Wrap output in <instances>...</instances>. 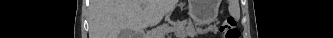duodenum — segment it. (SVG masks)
Segmentation results:
<instances>
[{"mask_svg": "<svg viewBox=\"0 0 333 38\" xmlns=\"http://www.w3.org/2000/svg\"><path fill=\"white\" fill-rule=\"evenodd\" d=\"M144 35H145V34H144V32H142V33H141V38H143V37H144Z\"/></svg>", "mask_w": 333, "mask_h": 38, "instance_id": "410a0bca", "label": "duodenum"}]
</instances>
